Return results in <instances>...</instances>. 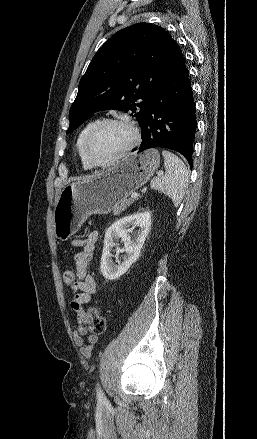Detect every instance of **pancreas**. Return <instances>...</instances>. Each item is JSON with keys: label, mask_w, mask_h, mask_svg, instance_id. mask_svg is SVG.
I'll return each instance as SVG.
<instances>
[{"label": "pancreas", "mask_w": 257, "mask_h": 439, "mask_svg": "<svg viewBox=\"0 0 257 439\" xmlns=\"http://www.w3.org/2000/svg\"><path fill=\"white\" fill-rule=\"evenodd\" d=\"M132 203L133 200L131 199L123 201L120 205L113 209V215L119 216L127 208V206H130Z\"/></svg>", "instance_id": "1"}]
</instances>
